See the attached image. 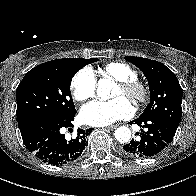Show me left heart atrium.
Listing matches in <instances>:
<instances>
[{
	"label": "left heart atrium",
	"instance_id": "39dd6f15",
	"mask_svg": "<svg viewBox=\"0 0 196 196\" xmlns=\"http://www.w3.org/2000/svg\"><path fill=\"white\" fill-rule=\"evenodd\" d=\"M134 113L133 106L124 97L109 101H92L81 108L80 118L88 125L107 126Z\"/></svg>",
	"mask_w": 196,
	"mask_h": 196
}]
</instances>
